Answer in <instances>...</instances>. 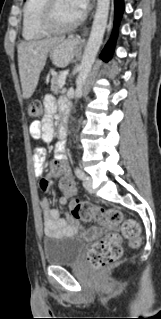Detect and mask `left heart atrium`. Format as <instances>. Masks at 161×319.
I'll return each instance as SVG.
<instances>
[{
    "mask_svg": "<svg viewBox=\"0 0 161 319\" xmlns=\"http://www.w3.org/2000/svg\"><path fill=\"white\" fill-rule=\"evenodd\" d=\"M74 6L82 12L87 6L88 0H72Z\"/></svg>",
    "mask_w": 161,
    "mask_h": 319,
    "instance_id": "obj_1",
    "label": "left heart atrium"
}]
</instances>
